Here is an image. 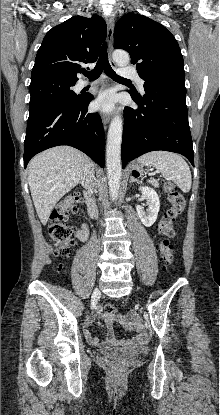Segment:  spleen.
I'll return each instance as SVG.
<instances>
[{
    "label": "spleen",
    "mask_w": 220,
    "mask_h": 415,
    "mask_svg": "<svg viewBox=\"0 0 220 415\" xmlns=\"http://www.w3.org/2000/svg\"><path fill=\"white\" fill-rule=\"evenodd\" d=\"M138 163L142 166H153L183 192L190 191L192 184L190 168L181 156L167 151H153L139 157Z\"/></svg>",
    "instance_id": "spleen-1"
}]
</instances>
